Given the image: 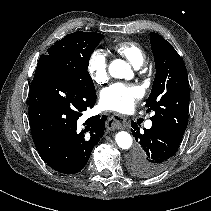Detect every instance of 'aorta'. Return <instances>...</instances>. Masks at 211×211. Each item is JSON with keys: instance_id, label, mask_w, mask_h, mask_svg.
<instances>
[{"instance_id": "obj_1", "label": "aorta", "mask_w": 211, "mask_h": 211, "mask_svg": "<svg viewBox=\"0 0 211 211\" xmlns=\"http://www.w3.org/2000/svg\"><path fill=\"white\" fill-rule=\"evenodd\" d=\"M129 71L130 66L121 59H115L109 65V74L114 78H125ZM115 141L122 149H129L132 146V137L126 131L118 132L115 136Z\"/></svg>"}]
</instances>
